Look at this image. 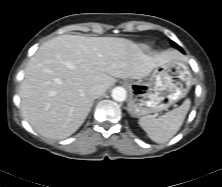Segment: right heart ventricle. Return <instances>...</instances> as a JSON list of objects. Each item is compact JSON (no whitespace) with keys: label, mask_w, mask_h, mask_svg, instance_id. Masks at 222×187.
<instances>
[{"label":"right heart ventricle","mask_w":222,"mask_h":187,"mask_svg":"<svg viewBox=\"0 0 222 187\" xmlns=\"http://www.w3.org/2000/svg\"><path fill=\"white\" fill-rule=\"evenodd\" d=\"M139 48L142 49V50H146V49H148V46H146V45H141V46H139Z\"/></svg>","instance_id":"right-heart-ventricle-1"}]
</instances>
